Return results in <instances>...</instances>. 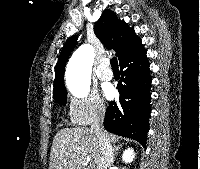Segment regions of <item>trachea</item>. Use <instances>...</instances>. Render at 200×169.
Listing matches in <instances>:
<instances>
[{"mask_svg": "<svg viewBox=\"0 0 200 169\" xmlns=\"http://www.w3.org/2000/svg\"><path fill=\"white\" fill-rule=\"evenodd\" d=\"M110 62H111L112 70L113 71H119L117 58L113 57Z\"/></svg>", "mask_w": 200, "mask_h": 169, "instance_id": "1", "label": "trachea"}]
</instances>
